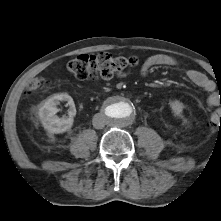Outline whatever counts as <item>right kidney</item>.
Returning <instances> with one entry per match:
<instances>
[{
  "label": "right kidney",
  "instance_id": "1",
  "mask_svg": "<svg viewBox=\"0 0 221 221\" xmlns=\"http://www.w3.org/2000/svg\"><path fill=\"white\" fill-rule=\"evenodd\" d=\"M60 101H66L69 106L68 115L58 117L57 105ZM39 117L43 127L52 134H59L68 131L73 125V117L76 115L74 101L67 93L55 94L48 98L43 106L39 109Z\"/></svg>",
  "mask_w": 221,
  "mask_h": 221
}]
</instances>
